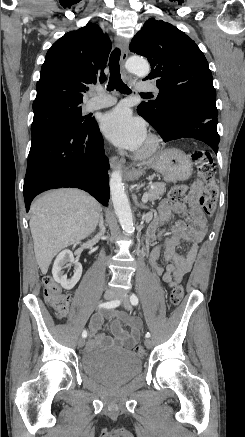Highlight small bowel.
<instances>
[{
  "label": "small bowel",
  "instance_id": "c3829d8e",
  "mask_svg": "<svg viewBox=\"0 0 245 437\" xmlns=\"http://www.w3.org/2000/svg\"><path fill=\"white\" fill-rule=\"evenodd\" d=\"M202 193V184L196 182L190 192L187 203H174L169 200L162 202L160 206L159 221L152 225L148 236L151 239L159 238L161 243L157 245L150 258L153 272L159 276L169 287L178 285L183 277L191 270L198 253L199 245L204 239L207 220L196 205L199 195ZM161 227V228H160ZM190 245L184 254H175V248L181 243ZM166 254V265L157 264L159 256ZM105 314L98 313L90 321L92 331L88 349H94L98 344H117L123 348H131L139 340L141 321L137 317H129L117 314L112 322L111 330L115 336L112 340L109 336L101 333ZM122 322H126L131 332L122 328Z\"/></svg>",
  "mask_w": 245,
  "mask_h": 437
}]
</instances>
